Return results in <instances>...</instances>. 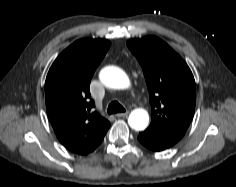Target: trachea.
I'll list each match as a JSON object with an SVG mask.
<instances>
[{"instance_id":"trachea-1","label":"trachea","mask_w":236,"mask_h":187,"mask_svg":"<svg viewBox=\"0 0 236 187\" xmlns=\"http://www.w3.org/2000/svg\"><path fill=\"white\" fill-rule=\"evenodd\" d=\"M108 114L125 112V108L117 101H113L108 106Z\"/></svg>"}]
</instances>
